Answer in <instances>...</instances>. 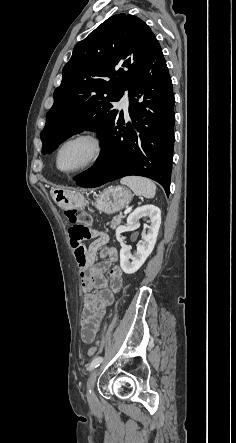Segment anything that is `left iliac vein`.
Wrapping results in <instances>:
<instances>
[{
	"label": "left iliac vein",
	"mask_w": 236,
	"mask_h": 443,
	"mask_svg": "<svg viewBox=\"0 0 236 443\" xmlns=\"http://www.w3.org/2000/svg\"><path fill=\"white\" fill-rule=\"evenodd\" d=\"M96 378H97V369H94L92 371V373L90 374V377L87 382V400H88V404H89V407L92 412H96L97 406H98L97 400H96V397L94 394V385L96 382Z\"/></svg>",
	"instance_id": "1"
}]
</instances>
